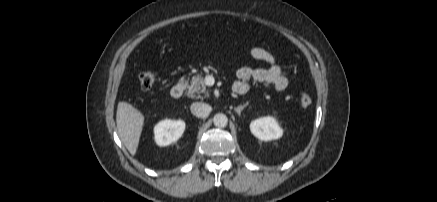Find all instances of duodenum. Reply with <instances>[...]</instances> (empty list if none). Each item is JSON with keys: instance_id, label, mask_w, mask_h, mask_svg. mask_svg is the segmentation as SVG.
Segmentation results:
<instances>
[{"instance_id": "obj_1", "label": "duodenum", "mask_w": 437, "mask_h": 202, "mask_svg": "<svg viewBox=\"0 0 437 202\" xmlns=\"http://www.w3.org/2000/svg\"><path fill=\"white\" fill-rule=\"evenodd\" d=\"M185 87L182 83H177L171 88V96L175 99H179L183 96Z\"/></svg>"}]
</instances>
